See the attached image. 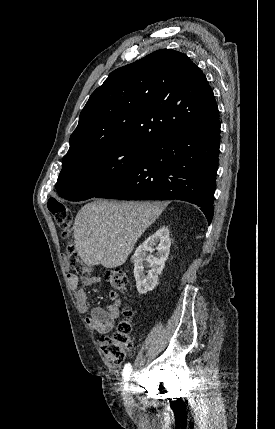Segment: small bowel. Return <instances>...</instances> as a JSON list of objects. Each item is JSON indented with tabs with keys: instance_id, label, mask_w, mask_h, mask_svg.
Returning <instances> with one entry per match:
<instances>
[{
	"instance_id": "small-bowel-1",
	"label": "small bowel",
	"mask_w": 275,
	"mask_h": 429,
	"mask_svg": "<svg viewBox=\"0 0 275 429\" xmlns=\"http://www.w3.org/2000/svg\"><path fill=\"white\" fill-rule=\"evenodd\" d=\"M68 284L73 291L76 299V304L83 313L89 312L90 315L86 318V323L93 331L99 334H106L111 331L115 320L119 316L120 298L116 291H109L108 297L111 304L106 309L101 307H90L87 302V295L84 287L94 285L100 281L98 277H83L78 278L73 273L67 274Z\"/></svg>"
}]
</instances>
